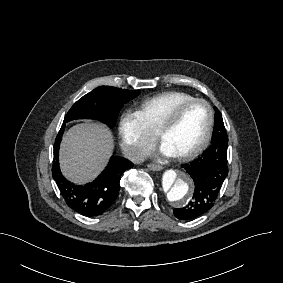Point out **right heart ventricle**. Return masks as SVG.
<instances>
[{
  "label": "right heart ventricle",
  "mask_w": 283,
  "mask_h": 283,
  "mask_svg": "<svg viewBox=\"0 0 283 283\" xmlns=\"http://www.w3.org/2000/svg\"><path fill=\"white\" fill-rule=\"evenodd\" d=\"M192 98L194 96L187 92L169 91L142 101L136 111L143 117L149 130L154 133L158 128L160 115H167L174 105Z\"/></svg>",
  "instance_id": "1"
}]
</instances>
